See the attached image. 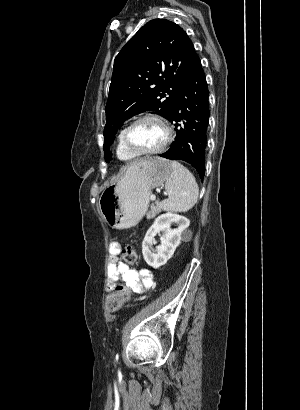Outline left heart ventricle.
<instances>
[{
    "label": "left heart ventricle",
    "mask_w": 300,
    "mask_h": 410,
    "mask_svg": "<svg viewBox=\"0 0 300 410\" xmlns=\"http://www.w3.org/2000/svg\"><path fill=\"white\" fill-rule=\"evenodd\" d=\"M165 138V130L155 120H143L134 125L129 133L130 144L139 150H153L159 147Z\"/></svg>",
    "instance_id": "1"
}]
</instances>
